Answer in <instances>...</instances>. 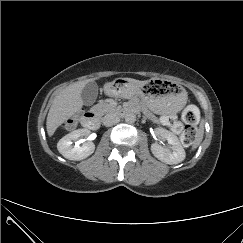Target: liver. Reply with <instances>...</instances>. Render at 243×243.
Listing matches in <instances>:
<instances>
[{
    "label": "liver",
    "mask_w": 243,
    "mask_h": 243,
    "mask_svg": "<svg viewBox=\"0 0 243 243\" xmlns=\"http://www.w3.org/2000/svg\"><path fill=\"white\" fill-rule=\"evenodd\" d=\"M134 84H144L146 81H137L134 79H126ZM94 79H88L75 82L62 90L53 100L47 115L46 129L51 137L56 129L62 125L68 118L74 116L83 106L81 93L85 85Z\"/></svg>",
    "instance_id": "liver-1"
}]
</instances>
